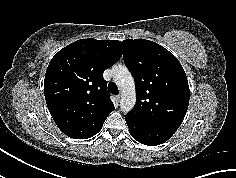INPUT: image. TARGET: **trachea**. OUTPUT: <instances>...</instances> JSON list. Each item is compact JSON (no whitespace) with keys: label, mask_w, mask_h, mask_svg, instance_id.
I'll use <instances>...</instances> for the list:
<instances>
[{"label":"trachea","mask_w":236,"mask_h":178,"mask_svg":"<svg viewBox=\"0 0 236 178\" xmlns=\"http://www.w3.org/2000/svg\"><path fill=\"white\" fill-rule=\"evenodd\" d=\"M108 90L110 93L117 95L119 93L118 87L114 82L108 84Z\"/></svg>","instance_id":"trachea-1"}]
</instances>
